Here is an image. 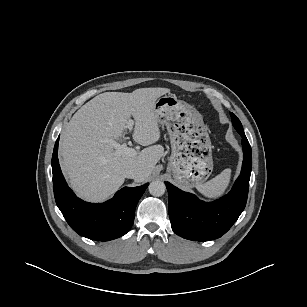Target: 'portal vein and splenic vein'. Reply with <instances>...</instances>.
I'll return each mask as SVG.
<instances>
[{
	"label": "portal vein and splenic vein",
	"instance_id": "portal-vein-and-splenic-vein-1",
	"mask_svg": "<svg viewBox=\"0 0 307 307\" xmlns=\"http://www.w3.org/2000/svg\"><path fill=\"white\" fill-rule=\"evenodd\" d=\"M133 125H134V121L130 119L127 123V128L131 131L133 128ZM104 142L113 146L115 148L116 154L118 155H124V156H129V157H135L137 155V151L133 148L128 147L126 143L121 145L112 139H105Z\"/></svg>",
	"mask_w": 307,
	"mask_h": 307
}]
</instances>
